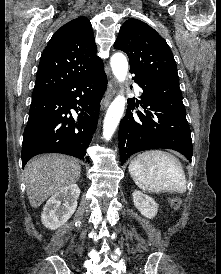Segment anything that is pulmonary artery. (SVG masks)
Instances as JSON below:
<instances>
[{"mask_svg":"<svg viewBox=\"0 0 221 274\" xmlns=\"http://www.w3.org/2000/svg\"><path fill=\"white\" fill-rule=\"evenodd\" d=\"M134 87H135V89H136L137 91H139L140 88H139V86H138L137 84H135Z\"/></svg>","mask_w":221,"mask_h":274,"instance_id":"pulmonary-artery-1","label":"pulmonary artery"}]
</instances>
